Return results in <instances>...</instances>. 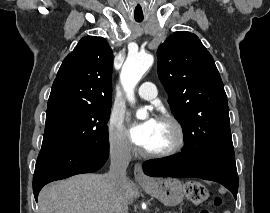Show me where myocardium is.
Listing matches in <instances>:
<instances>
[{"label": "myocardium", "instance_id": "f54148a6", "mask_svg": "<svg viewBox=\"0 0 270 213\" xmlns=\"http://www.w3.org/2000/svg\"><path fill=\"white\" fill-rule=\"evenodd\" d=\"M158 120L167 122L174 128V131L176 134V140L170 147L164 150H160V151L143 150L142 154L148 158H165V157L172 156L180 152L184 148L185 143H186V135H185L184 128L182 124L180 123V121L175 116L169 113H164L158 117Z\"/></svg>", "mask_w": 270, "mask_h": 213}]
</instances>
